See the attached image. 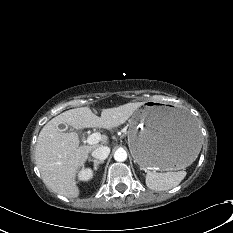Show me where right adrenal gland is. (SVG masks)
Returning <instances> with one entry per match:
<instances>
[{
  "label": "right adrenal gland",
  "instance_id": "obj_1",
  "mask_svg": "<svg viewBox=\"0 0 233 233\" xmlns=\"http://www.w3.org/2000/svg\"><path fill=\"white\" fill-rule=\"evenodd\" d=\"M88 161H92L94 163V170H97V167L99 164H102L104 163V160H95V159H91L89 158Z\"/></svg>",
  "mask_w": 233,
  "mask_h": 233
}]
</instances>
